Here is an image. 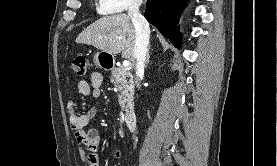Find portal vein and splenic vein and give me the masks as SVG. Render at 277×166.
<instances>
[{
  "label": "portal vein and splenic vein",
  "instance_id": "1",
  "mask_svg": "<svg viewBox=\"0 0 277 166\" xmlns=\"http://www.w3.org/2000/svg\"><path fill=\"white\" fill-rule=\"evenodd\" d=\"M123 65H124V67L126 68V69H130V66H131V63L128 61V60H125L124 62H123Z\"/></svg>",
  "mask_w": 277,
  "mask_h": 166
}]
</instances>
